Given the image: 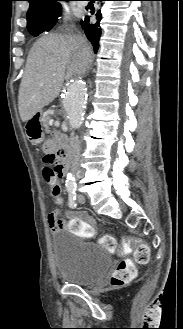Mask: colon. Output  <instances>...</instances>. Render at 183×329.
I'll return each instance as SVG.
<instances>
[{"instance_id": "5ec220e1", "label": "colon", "mask_w": 183, "mask_h": 329, "mask_svg": "<svg viewBox=\"0 0 183 329\" xmlns=\"http://www.w3.org/2000/svg\"><path fill=\"white\" fill-rule=\"evenodd\" d=\"M42 177L46 183L50 186L51 194L60 199L61 185L60 180L63 175V168L58 163L54 154H46L42 160ZM84 237V236H83ZM100 244L109 249L115 250L116 242L114 238L110 236H103L99 240ZM132 247L134 261L138 264H146L150 258V250L145 243H127L126 249ZM136 273L134 263L129 259L121 260L111 276V285L114 287H120L131 281Z\"/></svg>"}]
</instances>
